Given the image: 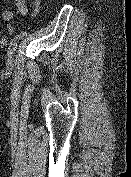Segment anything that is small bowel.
<instances>
[{
    "mask_svg": "<svg viewBox=\"0 0 131 177\" xmlns=\"http://www.w3.org/2000/svg\"><path fill=\"white\" fill-rule=\"evenodd\" d=\"M14 2L18 12L26 19H31L34 17L40 8L39 0L34 1L33 11H29L26 0H14ZM0 17L3 22L10 23L13 18V13L10 10H4L2 11ZM7 29L10 33L14 32V27L12 24H8Z\"/></svg>",
    "mask_w": 131,
    "mask_h": 177,
    "instance_id": "small-bowel-1",
    "label": "small bowel"
}]
</instances>
